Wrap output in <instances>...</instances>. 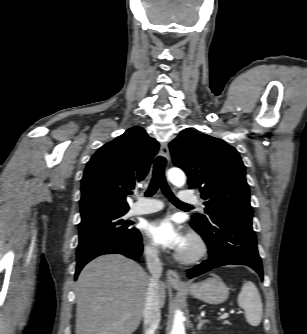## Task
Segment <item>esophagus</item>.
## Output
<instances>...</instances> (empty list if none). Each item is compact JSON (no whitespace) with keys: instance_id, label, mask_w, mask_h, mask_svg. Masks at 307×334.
<instances>
[{"instance_id":"1","label":"esophagus","mask_w":307,"mask_h":334,"mask_svg":"<svg viewBox=\"0 0 307 334\" xmlns=\"http://www.w3.org/2000/svg\"><path fill=\"white\" fill-rule=\"evenodd\" d=\"M160 153L165 159H167V161H169V157H170L169 148L166 142H163L161 144ZM167 281L171 286H174V287H186L187 286L186 283L180 280L179 275L174 270L167 271Z\"/></svg>"}]
</instances>
